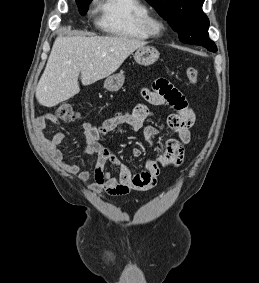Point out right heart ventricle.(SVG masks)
<instances>
[{
	"instance_id": "e07e8e85",
	"label": "right heart ventricle",
	"mask_w": 259,
	"mask_h": 283,
	"mask_svg": "<svg viewBox=\"0 0 259 283\" xmlns=\"http://www.w3.org/2000/svg\"><path fill=\"white\" fill-rule=\"evenodd\" d=\"M100 12L99 24L106 33L126 39L151 38L146 28L150 11L142 0H104Z\"/></svg>"
}]
</instances>
